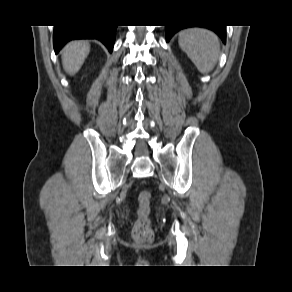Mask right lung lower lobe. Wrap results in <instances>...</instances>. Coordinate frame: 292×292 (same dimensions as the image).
<instances>
[{"label": "right lung lower lobe", "instance_id": "98d812e1", "mask_svg": "<svg viewBox=\"0 0 292 292\" xmlns=\"http://www.w3.org/2000/svg\"><path fill=\"white\" fill-rule=\"evenodd\" d=\"M116 28L117 26L97 25L55 26L53 34L55 52L58 53L68 41L75 39H97L112 52Z\"/></svg>", "mask_w": 292, "mask_h": 292}]
</instances>
